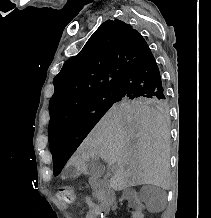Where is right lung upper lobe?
Listing matches in <instances>:
<instances>
[{
  "instance_id": "1",
  "label": "right lung upper lobe",
  "mask_w": 211,
  "mask_h": 218,
  "mask_svg": "<svg viewBox=\"0 0 211 218\" xmlns=\"http://www.w3.org/2000/svg\"><path fill=\"white\" fill-rule=\"evenodd\" d=\"M150 53L144 38L129 24L117 19L105 21L55 76L49 126L79 104L114 91L121 79Z\"/></svg>"
}]
</instances>
